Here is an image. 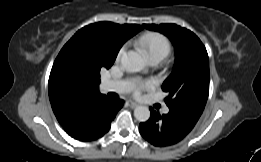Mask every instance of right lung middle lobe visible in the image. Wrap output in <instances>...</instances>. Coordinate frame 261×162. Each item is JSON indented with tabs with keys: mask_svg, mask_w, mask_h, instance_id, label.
<instances>
[{
	"mask_svg": "<svg viewBox=\"0 0 261 162\" xmlns=\"http://www.w3.org/2000/svg\"><path fill=\"white\" fill-rule=\"evenodd\" d=\"M120 47L119 39L113 34L101 35L93 48L64 46L50 73L52 85L59 90H73L98 80L101 68L112 66Z\"/></svg>",
	"mask_w": 261,
	"mask_h": 162,
	"instance_id": "dd1d6c3e",
	"label": "right lung middle lobe"
}]
</instances>
